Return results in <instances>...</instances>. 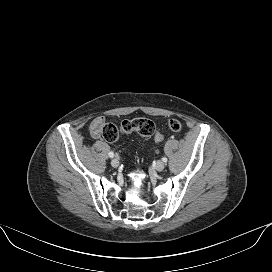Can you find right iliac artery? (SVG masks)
<instances>
[{"instance_id": "right-iliac-artery-1", "label": "right iliac artery", "mask_w": 272, "mask_h": 272, "mask_svg": "<svg viewBox=\"0 0 272 272\" xmlns=\"http://www.w3.org/2000/svg\"><path fill=\"white\" fill-rule=\"evenodd\" d=\"M108 155H109L110 158L114 157V153L113 152H109Z\"/></svg>"}]
</instances>
